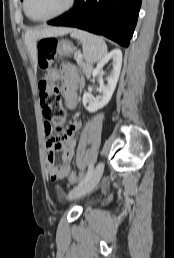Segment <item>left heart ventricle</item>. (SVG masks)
I'll use <instances>...</instances> for the list:
<instances>
[{
    "instance_id": "left-heart-ventricle-1",
    "label": "left heart ventricle",
    "mask_w": 174,
    "mask_h": 258,
    "mask_svg": "<svg viewBox=\"0 0 174 258\" xmlns=\"http://www.w3.org/2000/svg\"><path fill=\"white\" fill-rule=\"evenodd\" d=\"M68 0H29L28 11L33 18H43L63 9Z\"/></svg>"
}]
</instances>
